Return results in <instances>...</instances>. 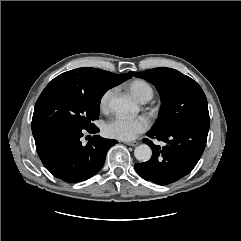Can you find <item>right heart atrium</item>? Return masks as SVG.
<instances>
[{
	"label": "right heart atrium",
	"mask_w": 241,
	"mask_h": 241,
	"mask_svg": "<svg viewBox=\"0 0 241 241\" xmlns=\"http://www.w3.org/2000/svg\"><path fill=\"white\" fill-rule=\"evenodd\" d=\"M114 93H115V89L110 88L102 94V96L100 97V101H99V107H100L101 111L106 112L109 110L110 102H111V99H112Z\"/></svg>",
	"instance_id": "obj_1"
}]
</instances>
